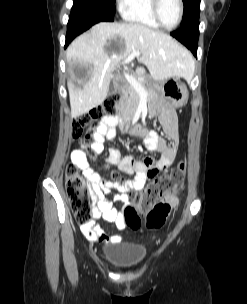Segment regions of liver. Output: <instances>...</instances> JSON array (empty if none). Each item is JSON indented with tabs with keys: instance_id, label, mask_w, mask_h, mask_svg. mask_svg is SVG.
<instances>
[{
	"instance_id": "liver-1",
	"label": "liver",
	"mask_w": 247,
	"mask_h": 304,
	"mask_svg": "<svg viewBox=\"0 0 247 304\" xmlns=\"http://www.w3.org/2000/svg\"><path fill=\"white\" fill-rule=\"evenodd\" d=\"M133 51H139L153 80L171 77L190 79L194 61L189 52L171 36L138 23H98L77 37L67 49L70 67L88 68L82 88L68 82L71 117L77 118L100 105L107 97L112 72ZM143 67L136 68L143 75ZM74 77V76H73Z\"/></svg>"
}]
</instances>
